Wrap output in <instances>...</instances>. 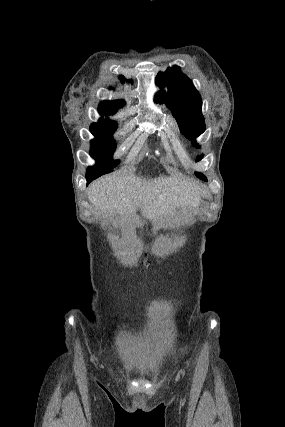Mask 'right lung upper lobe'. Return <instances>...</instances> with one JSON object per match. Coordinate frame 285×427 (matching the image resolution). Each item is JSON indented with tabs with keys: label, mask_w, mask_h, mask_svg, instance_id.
Here are the masks:
<instances>
[{
	"label": "right lung upper lobe",
	"mask_w": 285,
	"mask_h": 427,
	"mask_svg": "<svg viewBox=\"0 0 285 427\" xmlns=\"http://www.w3.org/2000/svg\"><path fill=\"white\" fill-rule=\"evenodd\" d=\"M120 81L125 82V77L120 76ZM125 105L124 100H115V101H103L99 104L98 111L101 115H111L115 114L117 110ZM117 125L115 121L109 119H100L98 123H93L91 127H105Z\"/></svg>",
	"instance_id": "cb5924a9"
}]
</instances>
